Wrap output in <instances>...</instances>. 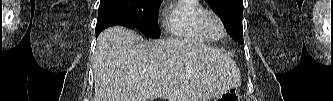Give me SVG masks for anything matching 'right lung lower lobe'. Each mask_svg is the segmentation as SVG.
I'll list each match as a JSON object with an SVG mask.
<instances>
[{
  "label": "right lung lower lobe",
  "mask_w": 333,
  "mask_h": 101,
  "mask_svg": "<svg viewBox=\"0 0 333 101\" xmlns=\"http://www.w3.org/2000/svg\"><path fill=\"white\" fill-rule=\"evenodd\" d=\"M115 25H121L130 28V21L116 5L112 3L100 5L96 24V38L105 28Z\"/></svg>",
  "instance_id": "right-lung-lower-lobe-1"
}]
</instances>
